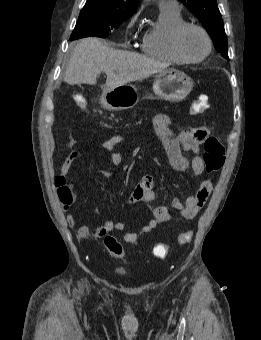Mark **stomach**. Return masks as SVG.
I'll return each instance as SVG.
<instances>
[{"instance_id": "obj_1", "label": "stomach", "mask_w": 261, "mask_h": 340, "mask_svg": "<svg viewBox=\"0 0 261 340\" xmlns=\"http://www.w3.org/2000/svg\"><path fill=\"white\" fill-rule=\"evenodd\" d=\"M194 82L185 73L169 68L155 76L154 94L163 100L179 102L192 91ZM146 97L152 98L151 95ZM139 101L137 88L132 84H124L114 88H103L100 103L107 110L121 111L133 108Z\"/></svg>"}]
</instances>
